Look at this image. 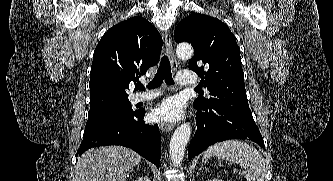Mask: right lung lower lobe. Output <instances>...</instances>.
<instances>
[{
    "label": "right lung lower lobe",
    "instance_id": "1",
    "mask_svg": "<svg viewBox=\"0 0 333 181\" xmlns=\"http://www.w3.org/2000/svg\"><path fill=\"white\" fill-rule=\"evenodd\" d=\"M144 114V111H132L85 128L76 157L92 147L121 145L136 151L159 168L161 135L157 124L151 126L143 121Z\"/></svg>",
    "mask_w": 333,
    "mask_h": 181
}]
</instances>
